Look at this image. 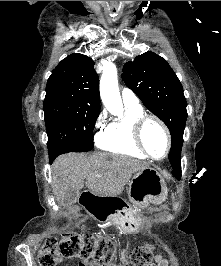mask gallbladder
Segmentation results:
<instances>
[{"mask_svg": "<svg viewBox=\"0 0 221 266\" xmlns=\"http://www.w3.org/2000/svg\"><path fill=\"white\" fill-rule=\"evenodd\" d=\"M79 194V190L70 189L63 195L61 203L64 205H71L77 201Z\"/></svg>", "mask_w": 221, "mask_h": 266, "instance_id": "obj_1", "label": "gallbladder"}]
</instances>
